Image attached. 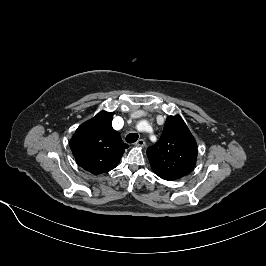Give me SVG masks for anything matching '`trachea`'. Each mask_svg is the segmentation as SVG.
Wrapping results in <instances>:
<instances>
[{"mask_svg":"<svg viewBox=\"0 0 266 266\" xmlns=\"http://www.w3.org/2000/svg\"><path fill=\"white\" fill-rule=\"evenodd\" d=\"M138 134L137 133H130L126 136V141L128 143H134L138 140Z\"/></svg>","mask_w":266,"mask_h":266,"instance_id":"obj_1","label":"trachea"}]
</instances>
